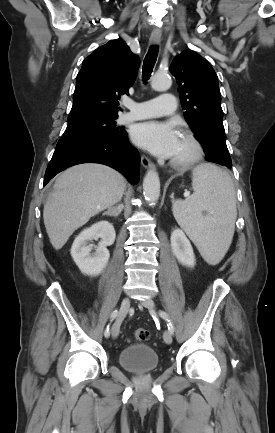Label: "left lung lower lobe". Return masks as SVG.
I'll list each match as a JSON object with an SVG mask.
<instances>
[{
  "instance_id": "0a47b994",
  "label": "left lung lower lobe",
  "mask_w": 275,
  "mask_h": 433,
  "mask_svg": "<svg viewBox=\"0 0 275 433\" xmlns=\"http://www.w3.org/2000/svg\"><path fill=\"white\" fill-rule=\"evenodd\" d=\"M223 166H226V167H228V168H231V167H232V163H225Z\"/></svg>"
}]
</instances>
